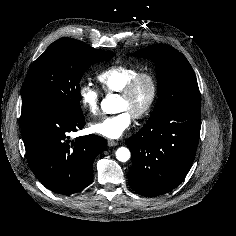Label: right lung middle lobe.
Returning a JSON list of instances; mask_svg holds the SVG:
<instances>
[{
  "label": "right lung middle lobe",
  "instance_id": "dd1d6c3e",
  "mask_svg": "<svg viewBox=\"0 0 236 236\" xmlns=\"http://www.w3.org/2000/svg\"><path fill=\"white\" fill-rule=\"evenodd\" d=\"M114 55L71 38L55 41L33 62L27 73L22 114L38 108L82 113L79 82L84 71Z\"/></svg>",
  "mask_w": 236,
  "mask_h": 236
}]
</instances>
